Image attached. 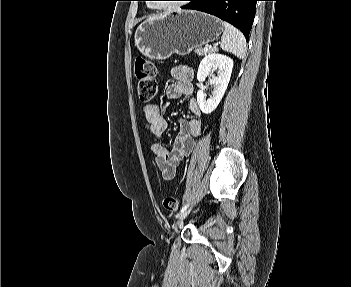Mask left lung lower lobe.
<instances>
[{
	"label": "left lung lower lobe",
	"instance_id": "left-lung-lower-lobe-1",
	"mask_svg": "<svg viewBox=\"0 0 351 287\" xmlns=\"http://www.w3.org/2000/svg\"><path fill=\"white\" fill-rule=\"evenodd\" d=\"M183 9L206 12L225 20L239 28L246 40L252 28L258 0H188Z\"/></svg>",
	"mask_w": 351,
	"mask_h": 287
}]
</instances>
